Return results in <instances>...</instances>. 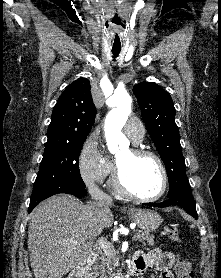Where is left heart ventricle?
Returning a JSON list of instances; mask_svg holds the SVG:
<instances>
[{
  "mask_svg": "<svg viewBox=\"0 0 221 278\" xmlns=\"http://www.w3.org/2000/svg\"><path fill=\"white\" fill-rule=\"evenodd\" d=\"M127 185L137 194L152 196L159 192L162 175L157 162L150 157H135L130 149L116 155Z\"/></svg>",
  "mask_w": 221,
  "mask_h": 278,
  "instance_id": "obj_1",
  "label": "left heart ventricle"
}]
</instances>
